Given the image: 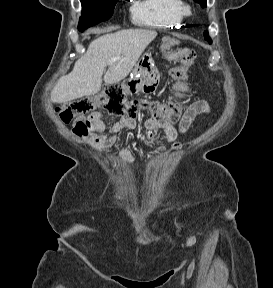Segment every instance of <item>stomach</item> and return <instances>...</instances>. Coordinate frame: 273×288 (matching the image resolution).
I'll use <instances>...</instances> for the list:
<instances>
[{"instance_id":"stomach-1","label":"stomach","mask_w":273,"mask_h":288,"mask_svg":"<svg viewBox=\"0 0 273 288\" xmlns=\"http://www.w3.org/2000/svg\"><path fill=\"white\" fill-rule=\"evenodd\" d=\"M174 40L168 36L162 38V50H169ZM134 77L123 82L122 88L129 93H152L156 89L157 69L151 53H145L135 64Z\"/></svg>"}]
</instances>
